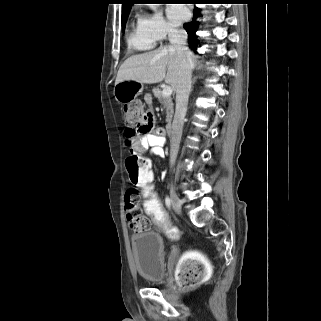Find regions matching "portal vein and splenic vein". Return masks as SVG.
<instances>
[{
  "mask_svg": "<svg viewBox=\"0 0 321 321\" xmlns=\"http://www.w3.org/2000/svg\"><path fill=\"white\" fill-rule=\"evenodd\" d=\"M172 88L170 86H166L163 88L162 94L163 96H170L172 94Z\"/></svg>",
  "mask_w": 321,
  "mask_h": 321,
  "instance_id": "18ae733b",
  "label": "portal vein and splenic vein"
}]
</instances>
